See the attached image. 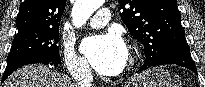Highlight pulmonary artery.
<instances>
[{
    "label": "pulmonary artery",
    "mask_w": 205,
    "mask_h": 87,
    "mask_svg": "<svg viewBox=\"0 0 205 87\" xmlns=\"http://www.w3.org/2000/svg\"><path fill=\"white\" fill-rule=\"evenodd\" d=\"M111 20L110 10L107 8H101L97 13L89 20V24L92 28L99 29L106 26Z\"/></svg>",
    "instance_id": "e3ab8cb5"
}]
</instances>
